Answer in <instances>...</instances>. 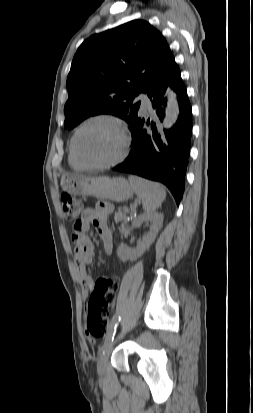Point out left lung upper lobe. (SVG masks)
Instances as JSON below:
<instances>
[{
	"label": "left lung upper lobe",
	"instance_id": "left-lung-upper-lobe-1",
	"mask_svg": "<svg viewBox=\"0 0 253 413\" xmlns=\"http://www.w3.org/2000/svg\"><path fill=\"white\" fill-rule=\"evenodd\" d=\"M171 58L162 34L143 20L92 35L72 61L64 126L72 129L98 114H113L132 126L140 116L134 98L147 93Z\"/></svg>",
	"mask_w": 253,
	"mask_h": 413
}]
</instances>
